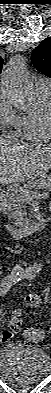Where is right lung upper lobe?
I'll return each mask as SVG.
<instances>
[{
	"instance_id": "1",
	"label": "right lung upper lobe",
	"mask_w": 51,
	"mask_h": 393,
	"mask_svg": "<svg viewBox=\"0 0 51 393\" xmlns=\"http://www.w3.org/2000/svg\"><path fill=\"white\" fill-rule=\"evenodd\" d=\"M2 65H3V59L0 57V72H1V69H2Z\"/></svg>"
}]
</instances>
